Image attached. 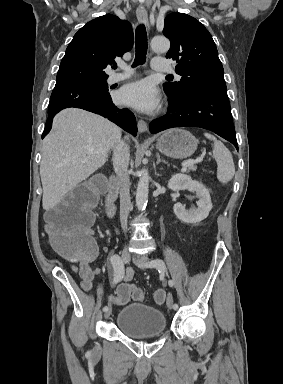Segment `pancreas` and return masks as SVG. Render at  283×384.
<instances>
[{"mask_svg":"<svg viewBox=\"0 0 283 384\" xmlns=\"http://www.w3.org/2000/svg\"><path fill=\"white\" fill-rule=\"evenodd\" d=\"M188 170H193V172H195L196 166H189Z\"/></svg>","mask_w":283,"mask_h":384,"instance_id":"obj_1","label":"pancreas"}]
</instances>
